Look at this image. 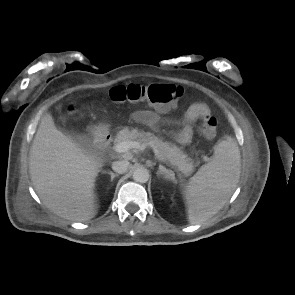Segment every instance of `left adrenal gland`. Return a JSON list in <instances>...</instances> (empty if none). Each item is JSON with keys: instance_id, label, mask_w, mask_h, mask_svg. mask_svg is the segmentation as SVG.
I'll use <instances>...</instances> for the list:
<instances>
[{"instance_id": "1", "label": "left adrenal gland", "mask_w": 295, "mask_h": 295, "mask_svg": "<svg viewBox=\"0 0 295 295\" xmlns=\"http://www.w3.org/2000/svg\"><path fill=\"white\" fill-rule=\"evenodd\" d=\"M172 174V171L169 169H166L161 164L159 165V170L157 171L158 177H163L164 179L168 180L170 179V175Z\"/></svg>"}]
</instances>
